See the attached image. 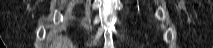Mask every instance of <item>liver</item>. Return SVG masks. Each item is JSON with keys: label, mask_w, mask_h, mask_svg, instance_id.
Instances as JSON below:
<instances>
[{"label": "liver", "mask_w": 213, "mask_h": 48, "mask_svg": "<svg viewBox=\"0 0 213 48\" xmlns=\"http://www.w3.org/2000/svg\"><path fill=\"white\" fill-rule=\"evenodd\" d=\"M50 48H76L66 36H57Z\"/></svg>", "instance_id": "6515ba94"}]
</instances>
